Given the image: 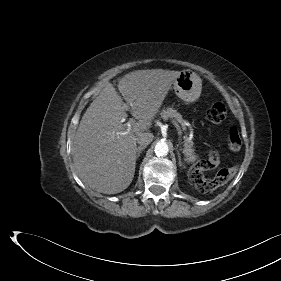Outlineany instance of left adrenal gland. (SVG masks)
I'll use <instances>...</instances> for the list:
<instances>
[{
  "mask_svg": "<svg viewBox=\"0 0 281 281\" xmlns=\"http://www.w3.org/2000/svg\"><path fill=\"white\" fill-rule=\"evenodd\" d=\"M178 160H179V162H178L179 166H183L184 167L183 163L181 162V155H180L179 152H178Z\"/></svg>",
  "mask_w": 281,
  "mask_h": 281,
  "instance_id": "1",
  "label": "left adrenal gland"
}]
</instances>
